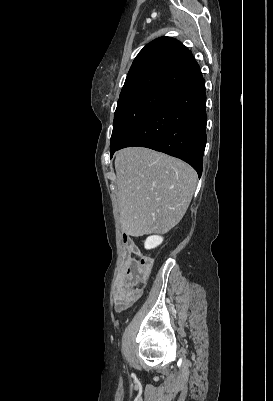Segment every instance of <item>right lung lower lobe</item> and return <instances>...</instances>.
Masks as SVG:
<instances>
[{"mask_svg": "<svg viewBox=\"0 0 273 401\" xmlns=\"http://www.w3.org/2000/svg\"><path fill=\"white\" fill-rule=\"evenodd\" d=\"M206 122L205 82L201 75L168 94L115 151L129 146L151 148L184 160L200 177Z\"/></svg>", "mask_w": 273, "mask_h": 401, "instance_id": "right-lung-lower-lobe-1", "label": "right lung lower lobe"}]
</instances>
